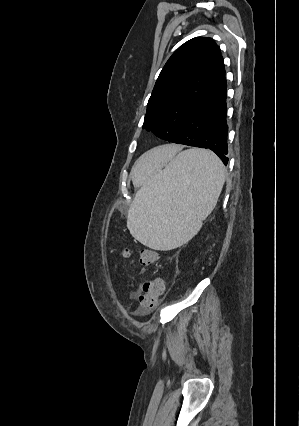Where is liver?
<instances>
[{"label": "liver", "instance_id": "liver-1", "mask_svg": "<svg viewBox=\"0 0 299 426\" xmlns=\"http://www.w3.org/2000/svg\"><path fill=\"white\" fill-rule=\"evenodd\" d=\"M173 145H162L145 152L134 164L132 177L134 180L144 179L155 169L161 167L176 153Z\"/></svg>", "mask_w": 299, "mask_h": 426}]
</instances>
